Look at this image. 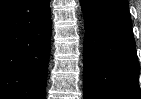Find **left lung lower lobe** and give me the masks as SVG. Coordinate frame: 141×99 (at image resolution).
Returning a JSON list of instances; mask_svg holds the SVG:
<instances>
[{
  "mask_svg": "<svg viewBox=\"0 0 141 99\" xmlns=\"http://www.w3.org/2000/svg\"><path fill=\"white\" fill-rule=\"evenodd\" d=\"M84 99H141L127 0H81Z\"/></svg>",
  "mask_w": 141,
  "mask_h": 99,
  "instance_id": "left-lung-lower-lobe-1",
  "label": "left lung lower lobe"
}]
</instances>
